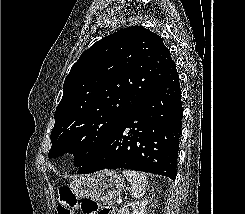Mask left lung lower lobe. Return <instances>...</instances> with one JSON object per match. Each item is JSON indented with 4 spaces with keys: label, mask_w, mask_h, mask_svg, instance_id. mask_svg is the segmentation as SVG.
Masks as SVG:
<instances>
[{
    "label": "left lung lower lobe",
    "mask_w": 245,
    "mask_h": 214,
    "mask_svg": "<svg viewBox=\"0 0 245 214\" xmlns=\"http://www.w3.org/2000/svg\"><path fill=\"white\" fill-rule=\"evenodd\" d=\"M183 110L177 70L146 96L78 174L131 169L176 178Z\"/></svg>",
    "instance_id": "left-lung-lower-lobe-1"
}]
</instances>
